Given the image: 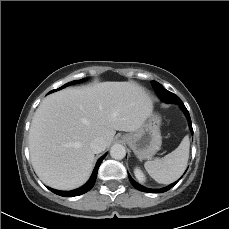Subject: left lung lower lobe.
Segmentation results:
<instances>
[{
    "label": "left lung lower lobe",
    "mask_w": 229,
    "mask_h": 229,
    "mask_svg": "<svg viewBox=\"0 0 229 229\" xmlns=\"http://www.w3.org/2000/svg\"><path fill=\"white\" fill-rule=\"evenodd\" d=\"M179 106L181 107V109L183 110L184 114L186 115L187 117V120H188V123H189V127L191 129V131L193 132V129H192V124H191V119H190V115H189V112L188 110L186 109V107L184 106L183 102L180 101L179 103ZM128 176H129V180L131 182V184L138 190L140 191H143V192H149V193H162V192H166L168 191L169 189H171L176 183H173L165 188H161V189H149V188H145L143 186H141L140 184H138L137 182H135L132 177L130 176V174L128 173Z\"/></svg>",
    "instance_id": "1"
}]
</instances>
